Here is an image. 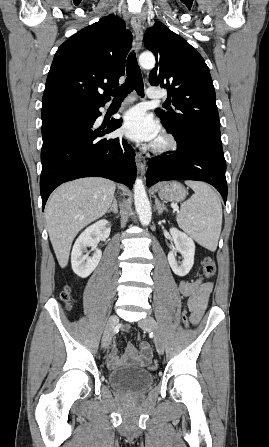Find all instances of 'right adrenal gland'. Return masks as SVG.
I'll use <instances>...</instances> for the list:
<instances>
[{
    "label": "right adrenal gland",
    "instance_id": "1",
    "mask_svg": "<svg viewBox=\"0 0 269 447\" xmlns=\"http://www.w3.org/2000/svg\"><path fill=\"white\" fill-rule=\"evenodd\" d=\"M110 212H113V214H118V204H117L115 198H114L113 204H112L110 210H108L107 214H110Z\"/></svg>",
    "mask_w": 269,
    "mask_h": 447
}]
</instances>
